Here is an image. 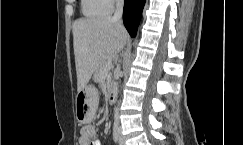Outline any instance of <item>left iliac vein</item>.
<instances>
[{
	"label": "left iliac vein",
	"mask_w": 243,
	"mask_h": 145,
	"mask_svg": "<svg viewBox=\"0 0 243 145\" xmlns=\"http://www.w3.org/2000/svg\"><path fill=\"white\" fill-rule=\"evenodd\" d=\"M119 145H126L125 141H124V138L122 136L121 128H119Z\"/></svg>",
	"instance_id": "obj_1"
}]
</instances>
